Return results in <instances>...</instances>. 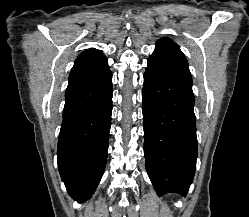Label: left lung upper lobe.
<instances>
[{
	"label": "left lung upper lobe",
	"instance_id": "obj_1",
	"mask_svg": "<svg viewBox=\"0 0 249 217\" xmlns=\"http://www.w3.org/2000/svg\"><path fill=\"white\" fill-rule=\"evenodd\" d=\"M149 60H155L189 71L188 62L179 46L169 38H161L156 42V47Z\"/></svg>",
	"mask_w": 249,
	"mask_h": 217
}]
</instances>
